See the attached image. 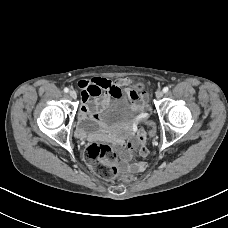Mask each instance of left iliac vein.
Masks as SVG:
<instances>
[{
	"mask_svg": "<svg viewBox=\"0 0 228 228\" xmlns=\"http://www.w3.org/2000/svg\"><path fill=\"white\" fill-rule=\"evenodd\" d=\"M164 93L162 91L156 92V98L161 99L163 97Z\"/></svg>",
	"mask_w": 228,
	"mask_h": 228,
	"instance_id": "4c4485c4",
	"label": "left iliac vein"
}]
</instances>
